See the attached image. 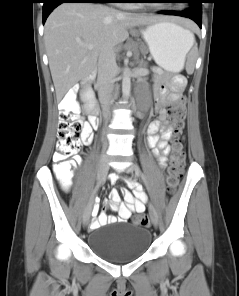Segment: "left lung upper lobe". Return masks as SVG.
Returning a JSON list of instances; mask_svg holds the SVG:
<instances>
[{
    "label": "left lung upper lobe",
    "instance_id": "obj_1",
    "mask_svg": "<svg viewBox=\"0 0 239 296\" xmlns=\"http://www.w3.org/2000/svg\"><path fill=\"white\" fill-rule=\"evenodd\" d=\"M179 1H187L195 4L198 8L202 9V0H179Z\"/></svg>",
    "mask_w": 239,
    "mask_h": 296
}]
</instances>
